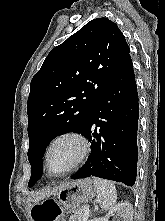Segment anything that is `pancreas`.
Segmentation results:
<instances>
[{
  "label": "pancreas",
  "instance_id": "cf45deb5",
  "mask_svg": "<svg viewBox=\"0 0 165 221\" xmlns=\"http://www.w3.org/2000/svg\"><path fill=\"white\" fill-rule=\"evenodd\" d=\"M69 221H87L85 219L84 208H79L70 216Z\"/></svg>",
  "mask_w": 165,
  "mask_h": 221
}]
</instances>
